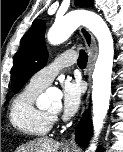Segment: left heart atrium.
Returning a JSON list of instances; mask_svg holds the SVG:
<instances>
[{
	"label": "left heart atrium",
	"mask_w": 123,
	"mask_h": 152,
	"mask_svg": "<svg viewBox=\"0 0 123 152\" xmlns=\"http://www.w3.org/2000/svg\"><path fill=\"white\" fill-rule=\"evenodd\" d=\"M81 95L82 92L78 83L66 81L63 84L61 111L65 119H69L77 112L81 102Z\"/></svg>",
	"instance_id": "obj_1"
}]
</instances>
